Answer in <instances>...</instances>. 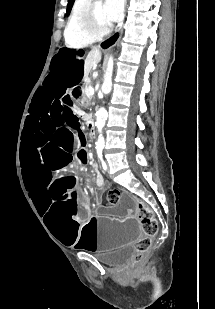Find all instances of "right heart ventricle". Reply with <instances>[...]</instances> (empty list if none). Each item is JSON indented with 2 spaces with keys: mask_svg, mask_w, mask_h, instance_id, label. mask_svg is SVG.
<instances>
[{
  "mask_svg": "<svg viewBox=\"0 0 215 309\" xmlns=\"http://www.w3.org/2000/svg\"><path fill=\"white\" fill-rule=\"evenodd\" d=\"M75 12L76 10H73L67 23H64V41L69 49L84 48L86 46L84 42L90 41V36L83 29V20L80 19V16H77V19H73Z\"/></svg>",
  "mask_w": 215,
  "mask_h": 309,
  "instance_id": "right-heart-ventricle-1",
  "label": "right heart ventricle"
}]
</instances>
